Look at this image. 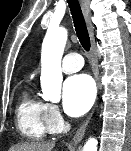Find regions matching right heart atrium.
I'll return each mask as SVG.
<instances>
[{
	"mask_svg": "<svg viewBox=\"0 0 131 151\" xmlns=\"http://www.w3.org/2000/svg\"><path fill=\"white\" fill-rule=\"evenodd\" d=\"M46 118L52 132H57L62 129L63 118L56 105L46 104Z\"/></svg>",
	"mask_w": 131,
	"mask_h": 151,
	"instance_id": "d8ad5b80",
	"label": "right heart atrium"
}]
</instances>
